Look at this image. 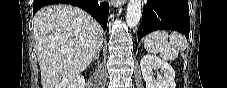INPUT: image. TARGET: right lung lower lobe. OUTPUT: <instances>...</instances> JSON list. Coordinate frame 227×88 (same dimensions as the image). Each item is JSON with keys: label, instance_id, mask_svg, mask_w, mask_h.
Here are the masks:
<instances>
[{"label": "right lung lower lobe", "instance_id": "right-lung-lower-lobe-1", "mask_svg": "<svg viewBox=\"0 0 227 88\" xmlns=\"http://www.w3.org/2000/svg\"><path fill=\"white\" fill-rule=\"evenodd\" d=\"M54 3H65L80 7L91 14L104 30L107 29L109 4L106 2L99 4L97 0H34L33 14L43 6Z\"/></svg>", "mask_w": 227, "mask_h": 88}]
</instances>
